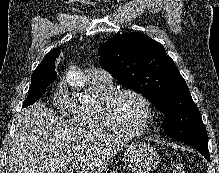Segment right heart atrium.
I'll list each match as a JSON object with an SVG mask.
<instances>
[{
	"mask_svg": "<svg viewBox=\"0 0 219 173\" xmlns=\"http://www.w3.org/2000/svg\"><path fill=\"white\" fill-rule=\"evenodd\" d=\"M52 103L63 114L75 117L76 104L70 97L65 82L60 81L56 85L52 96Z\"/></svg>",
	"mask_w": 219,
	"mask_h": 173,
	"instance_id": "right-heart-atrium-1",
	"label": "right heart atrium"
}]
</instances>
